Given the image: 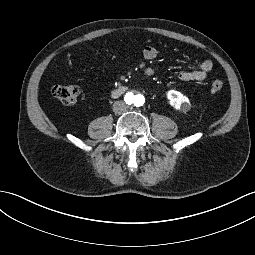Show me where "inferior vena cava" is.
<instances>
[{"label":"inferior vena cava","mask_w":255,"mask_h":255,"mask_svg":"<svg viewBox=\"0 0 255 255\" xmlns=\"http://www.w3.org/2000/svg\"><path fill=\"white\" fill-rule=\"evenodd\" d=\"M127 108V104L123 101H116L112 106V110L117 114L124 112Z\"/></svg>","instance_id":"602c4592"}]
</instances>
